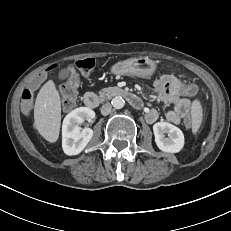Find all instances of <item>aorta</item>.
Masks as SVG:
<instances>
[{
    "mask_svg": "<svg viewBox=\"0 0 231 231\" xmlns=\"http://www.w3.org/2000/svg\"><path fill=\"white\" fill-rule=\"evenodd\" d=\"M111 103L115 109H122L125 105V101L121 96L114 97Z\"/></svg>",
    "mask_w": 231,
    "mask_h": 231,
    "instance_id": "1",
    "label": "aorta"
}]
</instances>
